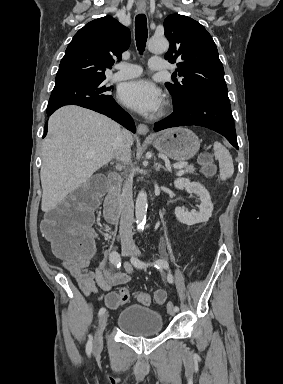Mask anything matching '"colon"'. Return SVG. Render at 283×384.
Returning a JSON list of instances; mask_svg holds the SVG:
<instances>
[{"instance_id": "obj_1", "label": "colon", "mask_w": 283, "mask_h": 384, "mask_svg": "<svg viewBox=\"0 0 283 384\" xmlns=\"http://www.w3.org/2000/svg\"><path fill=\"white\" fill-rule=\"evenodd\" d=\"M201 163L206 174L210 175L214 172V165L208 156H203ZM104 187L102 178H94L68 194L46 215L42 223V232L59 257L69 261H79L92 256L94 251L91 229L93 211ZM135 295L138 301L145 305L162 304L166 299V294L162 290L152 294L137 292ZM128 297V290L123 288L118 292L108 293L105 304L110 309H116L124 304Z\"/></svg>"}]
</instances>
